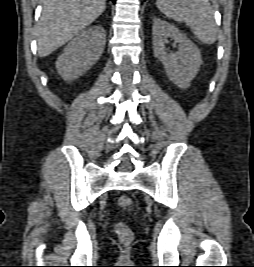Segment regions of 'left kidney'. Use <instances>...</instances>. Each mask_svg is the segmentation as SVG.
Wrapping results in <instances>:
<instances>
[{
    "mask_svg": "<svg viewBox=\"0 0 254 267\" xmlns=\"http://www.w3.org/2000/svg\"><path fill=\"white\" fill-rule=\"evenodd\" d=\"M152 34L154 55L164 65L168 78L178 87L188 88L203 63L200 50L177 27L164 20L154 19ZM168 38L179 44L177 52H166L164 44Z\"/></svg>",
    "mask_w": 254,
    "mask_h": 267,
    "instance_id": "left-kidney-1",
    "label": "left kidney"
}]
</instances>
